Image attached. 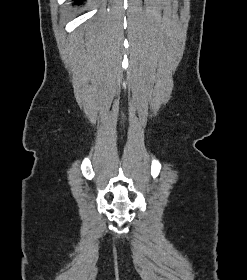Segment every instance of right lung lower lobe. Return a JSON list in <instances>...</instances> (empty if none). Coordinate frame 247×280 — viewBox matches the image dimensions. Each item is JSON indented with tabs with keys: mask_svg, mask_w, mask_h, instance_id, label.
Returning a JSON list of instances; mask_svg holds the SVG:
<instances>
[{
	"mask_svg": "<svg viewBox=\"0 0 247 280\" xmlns=\"http://www.w3.org/2000/svg\"><path fill=\"white\" fill-rule=\"evenodd\" d=\"M75 3H76V4H81V3H82V0H76Z\"/></svg>",
	"mask_w": 247,
	"mask_h": 280,
	"instance_id": "98d812e1",
	"label": "right lung lower lobe"
}]
</instances>
